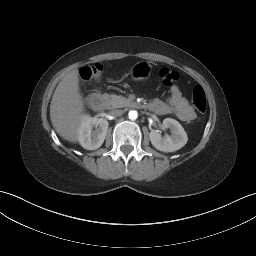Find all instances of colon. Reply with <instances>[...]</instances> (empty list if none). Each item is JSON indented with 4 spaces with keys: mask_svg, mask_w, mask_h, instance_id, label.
Returning a JSON list of instances; mask_svg holds the SVG:
<instances>
[{
    "mask_svg": "<svg viewBox=\"0 0 256 256\" xmlns=\"http://www.w3.org/2000/svg\"><path fill=\"white\" fill-rule=\"evenodd\" d=\"M103 71L101 64L85 66L80 69L79 76L83 81H90L93 78L99 77ZM159 78L163 85L169 86L179 79L177 71L164 67L159 72ZM191 103L199 113H205L207 110V101L204 89L200 85L193 88L191 95Z\"/></svg>",
    "mask_w": 256,
    "mask_h": 256,
    "instance_id": "colon-1",
    "label": "colon"
}]
</instances>
